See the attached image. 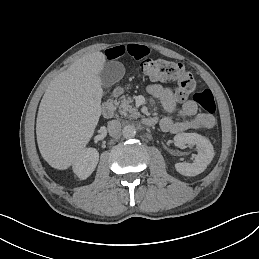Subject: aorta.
I'll list each match as a JSON object with an SVG mask.
<instances>
[{
  "label": "aorta",
  "mask_w": 259,
  "mask_h": 259,
  "mask_svg": "<svg viewBox=\"0 0 259 259\" xmlns=\"http://www.w3.org/2000/svg\"><path fill=\"white\" fill-rule=\"evenodd\" d=\"M122 135H123L125 138H127V139H129V138H134L135 135H136V129H135V127H134L133 125H130V124L125 125V126L123 127V130H122Z\"/></svg>",
  "instance_id": "1"
}]
</instances>
